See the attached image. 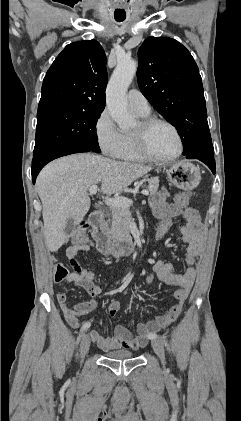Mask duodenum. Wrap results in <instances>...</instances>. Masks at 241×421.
<instances>
[{"mask_svg": "<svg viewBox=\"0 0 241 421\" xmlns=\"http://www.w3.org/2000/svg\"><path fill=\"white\" fill-rule=\"evenodd\" d=\"M89 221L93 228L92 234L99 252L121 257L130 255L134 251L135 244L131 238H114L108 233L104 225V213L102 211L93 212Z\"/></svg>", "mask_w": 241, "mask_h": 421, "instance_id": "1", "label": "duodenum"}]
</instances>
